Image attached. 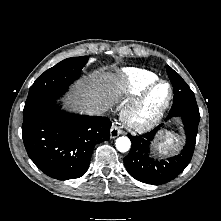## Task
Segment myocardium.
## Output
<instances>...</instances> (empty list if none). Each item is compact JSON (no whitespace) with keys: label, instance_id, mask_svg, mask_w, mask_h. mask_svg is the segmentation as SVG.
I'll use <instances>...</instances> for the list:
<instances>
[{"label":"myocardium","instance_id":"obj_1","mask_svg":"<svg viewBox=\"0 0 221 221\" xmlns=\"http://www.w3.org/2000/svg\"><path fill=\"white\" fill-rule=\"evenodd\" d=\"M167 85L168 92L159 103H153V94L158 86ZM173 98V87L165 80H157L145 89L136 101L124 114L126 125L134 131H145L156 125L168 109Z\"/></svg>","mask_w":221,"mask_h":221}]
</instances>
